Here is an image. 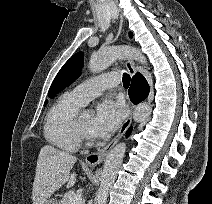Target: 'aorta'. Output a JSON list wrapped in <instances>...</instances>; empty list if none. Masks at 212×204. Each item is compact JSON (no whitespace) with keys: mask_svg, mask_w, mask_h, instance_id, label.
<instances>
[{"mask_svg":"<svg viewBox=\"0 0 212 204\" xmlns=\"http://www.w3.org/2000/svg\"><path fill=\"white\" fill-rule=\"evenodd\" d=\"M121 58H133L143 65L147 64L145 56L138 49L128 46H111L101 48L92 54L89 69L93 73H99ZM151 112L152 107L149 104L141 103L135 108L133 119L136 122L146 121L150 117ZM125 151V142H120L108 153L101 175V184L95 197V204H106Z\"/></svg>","mask_w":212,"mask_h":204,"instance_id":"1","label":"aorta"}]
</instances>
